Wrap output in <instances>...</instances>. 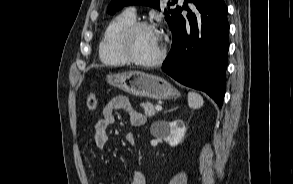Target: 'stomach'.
Wrapping results in <instances>:
<instances>
[{
	"label": "stomach",
	"mask_w": 293,
	"mask_h": 184,
	"mask_svg": "<svg viewBox=\"0 0 293 184\" xmlns=\"http://www.w3.org/2000/svg\"><path fill=\"white\" fill-rule=\"evenodd\" d=\"M106 80L110 85L138 97L161 100L180 95L165 79L141 71L110 74Z\"/></svg>",
	"instance_id": "0dacf381"
}]
</instances>
